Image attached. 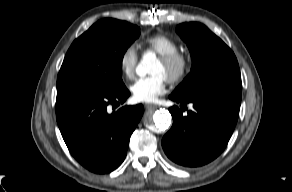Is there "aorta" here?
<instances>
[{"label":"aorta","mask_w":292,"mask_h":192,"mask_svg":"<svg viewBox=\"0 0 292 192\" xmlns=\"http://www.w3.org/2000/svg\"><path fill=\"white\" fill-rule=\"evenodd\" d=\"M155 60V55L153 53H146L143 56L142 61L136 67V73L140 77H144L149 73L150 67ZM171 114L165 110H157L153 115V122L159 130L163 131L169 128L171 124Z\"/></svg>","instance_id":"obj_1"}]
</instances>
